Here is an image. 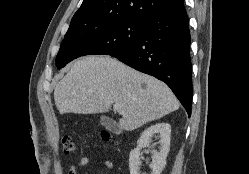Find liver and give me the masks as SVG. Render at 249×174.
I'll use <instances>...</instances> for the list:
<instances>
[{"mask_svg":"<svg viewBox=\"0 0 249 174\" xmlns=\"http://www.w3.org/2000/svg\"><path fill=\"white\" fill-rule=\"evenodd\" d=\"M54 100L61 114L105 113L121 106L119 126L132 131L179 108V102L162 81L109 56L77 60L57 84Z\"/></svg>","mask_w":249,"mask_h":174,"instance_id":"6515ba94","label":"liver"}]
</instances>
